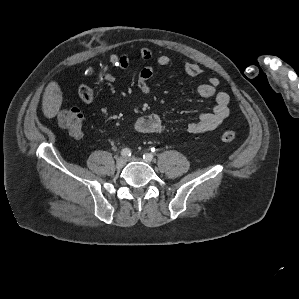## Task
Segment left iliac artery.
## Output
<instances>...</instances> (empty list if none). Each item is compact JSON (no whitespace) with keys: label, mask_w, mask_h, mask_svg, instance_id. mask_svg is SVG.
<instances>
[{"label":"left iliac artery","mask_w":299,"mask_h":299,"mask_svg":"<svg viewBox=\"0 0 299 299\" xmlns=\"http://www.w3.org/2000/svg\"><path fill=\"white\" fill-rule=\"evenodd\" d=\"M144 160L146 161H152L153 155L151 153H146L143 155Z\"/></svg>","instance_id":"left-iliac-artery-1"}]
</instances>
